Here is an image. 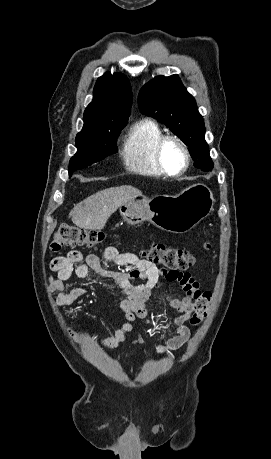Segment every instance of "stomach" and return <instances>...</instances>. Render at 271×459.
I'll list each match as a JSON object with an SVG mask.
<instances>
[{
    "mask_svg": "<svg viewBox=\"0 0 271 459\" xmlns=\"http://www.w3.org/2000/svg\"><path fill=\"white\" fill-rule=\"evenodd\" d=\"M213 206L210 188L195 184L177 196H155L152 200L145 196H133L119 206V210L124 222L131 226L151 222L164 231L185 233L209 216Z\"/></svg>",
    "mask_w": 271,
    "mask_h": 459,
    "instance_id": "stomach-1",
    "label": "stomach"
}]
</instances>
